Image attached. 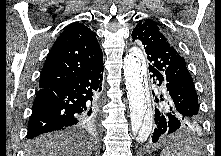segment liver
I'll list each match as a JSON object with an SVG mask.
<instances>
[{
    "mask_svg": "<svg viewBox=\"0 0 221 156\" xmlns=\"http://www.w3.org/2000/svg\"><path fill=\"white\" fill-rule=\"evenodd\" d=\"M26 156H91L89 141L73 132H54L28 142Z\"/></svg>",
    "mask_w": 221,
    "mask_h": 156,
    "instance_id": "obj_1",
    "label": "liver"
}]
</instances>
